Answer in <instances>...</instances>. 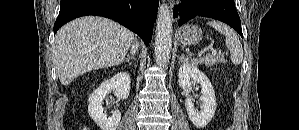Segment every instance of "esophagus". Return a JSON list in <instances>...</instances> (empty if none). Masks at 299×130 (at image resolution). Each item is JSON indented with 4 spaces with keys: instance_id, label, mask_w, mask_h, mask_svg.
Wrapping results in <instances>:
<instances>
[{
    "instance_id": "34e87169",
    "label": "esophagus",
    "mask_w": 299,
    "mask_h": 130,
    "mask_svg": "<svg viewBox=\"0 0 299 130\" xmlns=\"http://www.w3.org/2000/svg\"><path fill=\"white\" fill-rule=\"evenodd\" d=\"M170 10H171V19L173 22L178 21L180 15H179V8H178V2L176 1H170Z\"/></svg>"
}]
</instances>
